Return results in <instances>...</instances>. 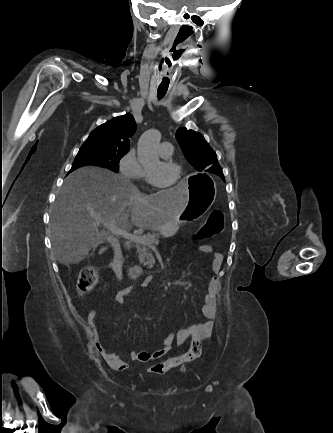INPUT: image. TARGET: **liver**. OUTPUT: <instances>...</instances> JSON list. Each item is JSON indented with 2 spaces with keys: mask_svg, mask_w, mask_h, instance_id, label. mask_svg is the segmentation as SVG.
<instances>
[{
  "mask_svg": "<svg viewBox=\"0 0 333 433\" xmlns=\"http://www.w3.org/2000/svg\"><path fill=\"white\" fill-rule=\"evenodd\" d=\"M172 189L145 195L129 179L108 169L75 170L65 179L51 212L52 247L58 262L77 264L86 258L97 245L100 224L109 230L104 223L114 221L115 228L126 232L131 225L162 230L181 214L182 201L190 198L186 183H174Z\"/></svg>",
  "mask_w": 333,
  "mask_h": 433,
  "instance_id": "6515ba94",
  "label": "liver"
}]
</instances>
